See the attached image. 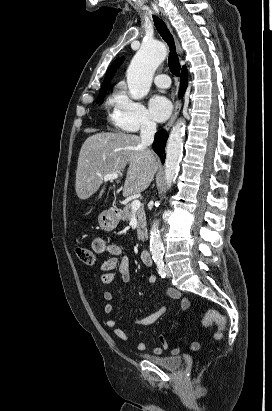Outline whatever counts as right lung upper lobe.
Here are the masks:
<instances>
[{
    "instance_id": "1",
    "label": "right lung upper lobe",
    "mask_w": 272,
    "mask_h": 411,
    "mask_svg": "<svg viewBox=\"0 0 272 411\" xmlns=\"http://www.w3.org/2000/svg\"><path fill=\"white\" fill-rule=\"evenodd\" d=\"M124 61V57L118 58L116 59L110 66V68L108 69L106 76L104 78V82H103V86L101 88L104 89L106 86H109L111 79L113 78L116 70L119 68V66L123 63ZM182 68H185V66H183ZM100 90V91H101Z\"/></svg>"
}]
</instances>
